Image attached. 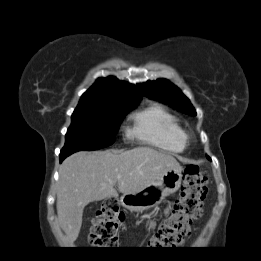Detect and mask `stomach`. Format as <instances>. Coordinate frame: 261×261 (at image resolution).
<instances>
[{
    "label": "stomach",
    "instance_id": "stomach-1",
    "mask_svg": "<svg viewBox=\"0 0 261 261\" xmlns=\"http://www.w3.org/2000/svg\"><path fill=\"white\" fill-rule=\"evenodd\" d=\"M181 167L167 171L159 180L136 193L124 194L121 204L132 212H141L160 204L167 196L176 192L181 185Z\"/></svg>",
    "mask_w": 261,
    "mask_h": 261
}]
</instances>
